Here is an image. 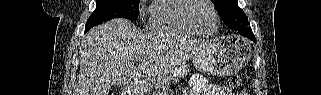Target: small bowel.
Masks as SVG:
<instances>
[{
    "mask_svg": "<svg viewBox=\"0 0 321 95\" xmlns=\"http://www.w3.org/2000/svg\"><path fill=\"white\" fill-rule=\"evenodd\" d=\"M203 92L188 93V95H229L226 87L217 84H204Z\"/></svg>",
    "mask_w": 321,
    "mask_h": 95,
    "instance_id": "c3829d8e",
    "label": "small bowel"
}]
</instances>
